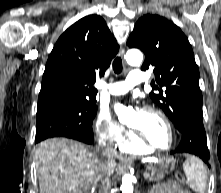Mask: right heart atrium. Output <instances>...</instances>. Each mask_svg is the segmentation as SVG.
I'll return each instance as SVG.
<instances>
[{"instance_id":"1","label":"right heart atrium","mask_w":221,"mask_h":193,"mask_svg":"<svg viewBox=\"0 0 221 193\" xmlns=\"http://www.w3.org/2000/svg\"><path fill=\"white\" fill-rule=\"evenodd\" d=\"M95 132L100 141L117 145L127 136L126 128L107 111H100L95 121Z\"/></svg>"}]
</instances>
